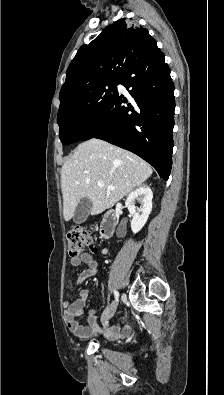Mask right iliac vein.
Segmentation results:
<instances>
[{"instance_id": "right-iliac-vein-1", "label": "right iliac vein", "mask_w": 224, "mask_h": 395, "mask_svg": "<svg viewBox=\"0 0 224 395\" xmlns=\"http://www.w3.org/2000/svg\"><path fill=\"white\" fill-rule=\"evenodd\" d=\"M117 308V302H114L110 308L101 316V321L105 322L107 320H109L115 313Z\"/></svg>"}]
</instances>
